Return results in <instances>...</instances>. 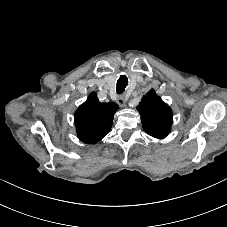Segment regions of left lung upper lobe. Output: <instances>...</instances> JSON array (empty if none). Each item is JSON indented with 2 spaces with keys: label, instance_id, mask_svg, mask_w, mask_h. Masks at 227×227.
Wrapping results in <instances>:
<instances>
[{
  "label": "left lung upper lobe",
  "instance_id": "left-lung-upper-lobe-1",
  "mask_svg": "<svg viewBox=\"0 0 227 227\" xmlns=\"http://www.w3.org/2000/svg\"><path fill=\"white\" fill-rule=\"evenodd\" d=\"M137 110L141 115L144 130L151 136L163 139L171 131L172 110L150 90L139 103Z\"/></svg>",
  "mask_w": 227,
  "mask_h": 227
}]
</instances>
